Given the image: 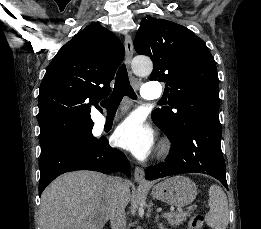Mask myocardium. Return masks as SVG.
Segmentation results:
<instances>
[{
	"instance_id": "1",
	"label": "myocardium",
	"mask_w": 261,
	"mask_h": 229,
	"mask_svg": "<svg viewBox=\"0 0 261 229\" xmlns=\"http://www.w3.org/2000/svg\"><path fill=\"white\" fill-rule=\"evenodd\" d=\"M169 152V146L167 143H165L162 147H161V150H160V155H166L168 154Z\"/></svg>"
}]
</instances>
